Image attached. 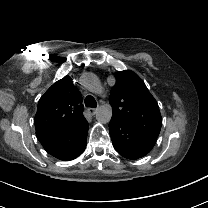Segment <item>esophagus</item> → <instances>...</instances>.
I'll return each instance as SVG.
<instances>
[{
    "mask_svg": "<svg viewBox=\"0 0 208 208\" xmlns=\"http://www.w3.org/2000/svg\"><path fill=\"white\" fill-rule=\"evenodd\" d=\"M99 110V107L97 108H88L87 109V113L90 115V116H93L97 113V111Z\"/></svg>",
    "mask_w": 208,
    "mask_h": 208,
    "instance_id": "1",
    "label": "esophagus"
}]
</instances>
